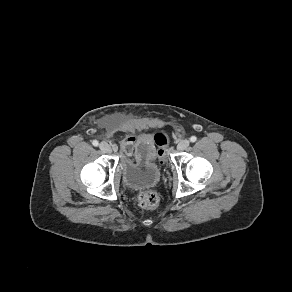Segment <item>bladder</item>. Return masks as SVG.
<instances>
[{"label":"bladder","mask_w":292,"mask_h":292,"mask_svg":"<svg viewBox=\"0 0 292 292\" xmlns=\"http://www.w3.org/2000/svg\"><path fill=\"white\" fill-rule=\"evenodd\" d=\"M159 174V169L153 161L143 165L124 163L122 166L123 182L127 187L132 189L153 186L158 181Z\"/></svg>","instance_id":"obj_1"}]
</instances>
